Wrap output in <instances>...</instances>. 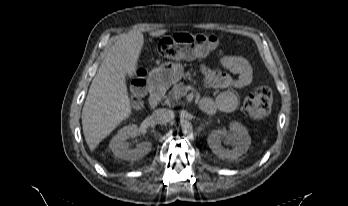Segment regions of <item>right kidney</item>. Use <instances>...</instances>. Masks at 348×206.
Instances as JSON below:
<instances>
[{
    "label": "right kidney",
    "mask_w": 348,
    "mask_h": 206,
    "mask_svg": "<svg viewBox=\"0 0 348 206\" xmlns=\"http://www.w3.org/2000/svg\"><path fill=\"white\" fill-rule=\"evenodd\" d=\"M138 135V127L135 124L123 127L112 138L110 148L113 154L123 160L136 161L151 151L150 142H141L135 148H130L127 139L135 138Z\"/></svg>",
    "instance_id": "1"
}]
</instances>
